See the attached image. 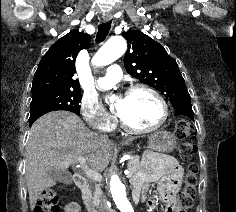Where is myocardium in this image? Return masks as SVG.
Segmentation results:
<instances>
[{
  "label": "myocardium",
  "instance_id": "1",
  "mask_svg": "<svg viewBox=\"0 0 236 212\" xmlns=\"http://www.w3.org/2000/svg\"><path fill=\"white\" fill-rule=\"evenodd\" d=\"M138 90L147 91V92L151 93L158 100V102L160 103L161 108H162V115H161L160 120L151 127L139 129V128H134V127H131L130 125H128L122 119V117L119 115L118 116L119 124L122 127V129H124L126 132H129L132 134H147V133L154 132V131L158 130L167 121L168 116H169L168 104L158 90H156L155 88H153L147 84H143V83H137V84L130 85L126 89L125 95L131 94V93L138 91Z\"/></svg>",
  "mask_w": 236,
  "mask_h": 212
}]
</instances>
